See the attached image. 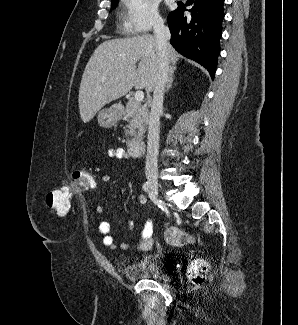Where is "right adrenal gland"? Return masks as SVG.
Listing matches in <instances>:
<instances>
[{"label":"right adrenal gland","instance_id":"obj_1","mask_svg":"<svg viewBox=\"0 0 298 325\" xmlns=\"http://www.w3.org/2000/svg\"><path fill=\"white\" fill-rule=\"evenodd\" d=\"M174 72L175 68H170L164 92H166V90H169L170 86H172Z\"/></svg>","mask_w":298,"mask_h":325}]
</instances>
